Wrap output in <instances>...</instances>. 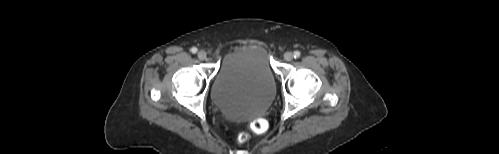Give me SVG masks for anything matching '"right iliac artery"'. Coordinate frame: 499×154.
<instances>
[{
  "instance_id": "right-iliac-artery-1",
  "label": "right iliac artery",
  "mask_w": 499,
  "mask_h": 154,
  "mask_svg": "<svg viewBox=\"0 0 499 154\" xmlns=\"http://www.w3.org/2000/svg\"><path fill=\"white\" fill-rule=\"evenodd\" d=\"M197 51H198V50H197V48H196V47H193V48L191 49V52H192V53H194V54H195V53H197Z\"/></svg>"
}]
</instances>
